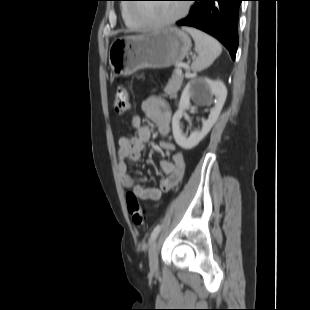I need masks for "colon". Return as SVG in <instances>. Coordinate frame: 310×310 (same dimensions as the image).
Instances as JSON below:
<instances>
[{
  "instance_id": "colon-1",
  "label": "colon",
  "mask_w": 310,
  "mask_h": 310,
  "mask_svg": "<svg viewBox=\"0 0 310 310\" xmlns=\"http://www.w3.org/2000/svg\"><path fill=\"white\" fill-rule=\"evenodd\" d=\"M130 106L129 92L124 86H118L115 90L113 99V110L117 115H124L128 112ZM126 204L129 215L133 223L139 227L144 228L145 216L144 211L141 208L138 197L132 191L126 195Z\"/></svg>"
}]
</instances>
